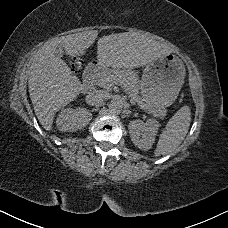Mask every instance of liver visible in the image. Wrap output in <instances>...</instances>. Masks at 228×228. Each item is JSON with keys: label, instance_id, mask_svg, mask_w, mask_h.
I'll return each mask as SVG.
<instances>
[{"label": "liver", "instance_id": "obj_1", "mask_svg": "<svg viewBox=\"0 0 228 228\" xmlns=\"http://www.w3.org/2000/svg\"><path fill=\"white\" fill-rule=\"evenodd\" d=\"M98 37L88 30L55 38L30 59L28 87L35 115L42 127L51 131L55 113L85 91L84 84L57 55L58 45L71 56L84 55ZM173 50L138 32L112 33L98 40L100 67L135 68L153 63Z\"/></svg>", "mask_w": 228, "mask_h": 228}]
</instances>
